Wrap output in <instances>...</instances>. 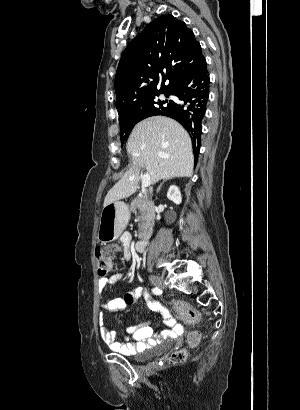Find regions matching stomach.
<instances>
[{"label":"stomach","instance_id":"obj_1","mask_svg":"<svg viewBox=\"0 0 300 410\" xmlns=\"http://www.w3.org/2000/svg\"><path fill=\"white\" fill-rule=\"evenodd\" d=\"M129 218L130 211L124 202L115 201L104 206L100 217L98 240L111 242L117 239L126 228Z\"/></svg>","mask_w":300,"mask_h":410}]
</instances>
